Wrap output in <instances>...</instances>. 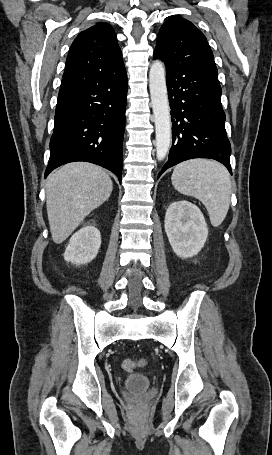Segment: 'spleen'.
I'll list each match as a JSON object with an SVG mask.
<instances>
[{
	"mask_svg": "<svg viewBox=\"0 0 272 455\" xmlns=\"http://www.w3.org/2000/svg\"><path fill=\"white\" fill-rule=\"evenodd\" d=\"M171 180L178 192L204 204L214 227L223 222L230 205L231 180L222 164L206 159L185 161L174 168Z\"/></svg>",
	"mask_w": 272,
	"mask_h": 455,
	"instance_id": "spleen-1",
	"label": "spleen"
}]
</instances>
